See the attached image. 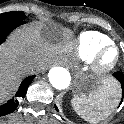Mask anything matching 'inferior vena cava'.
<instances>
[{
  "label": "inferior vena cava",
  "instance_id": "obj_1",
  "mask_svg": "<svg viewBox=\"0 0 124 124\" xmlns=\"http://www.w3.org/2000/svg\"><path fill=\"white\" fill-rule=\"evenodd\" d=\"M30 67L34 69H39L40 68V62L37 60H31L30 61Z\"/></svg>",
  "mask_w": 124,
  "mask_h": 124
}]
</instances>
